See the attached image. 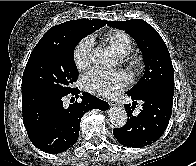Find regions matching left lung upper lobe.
<instances>
[{"instance_id": "obj_1", "label": "left lung upper lobe", "mask_w": 196, "mask_h": 166, "mask_svg": "<svg viewBox=\"0 0 196 166\" xmlns=\"http://www.w3.org/2000/svg\"><path fill=\"white\" fill-rule=\"evenodd\" d=\"M108 25L126 31L143 55L144 75L127 94L138 97L158 91L174 95V70L168 48L159 33L142 19L111 21Z\"/></svg>"}]
</instances>
